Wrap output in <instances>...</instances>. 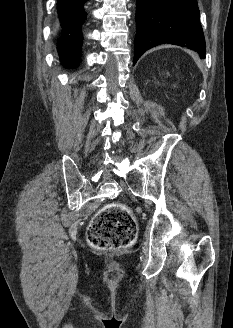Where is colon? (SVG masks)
I'll list each match as a JSON object with an SVG mask.
<instances>
[{
  "instance_id": "colon-1",
  "label": "colon",
  "mask_w": 233,
  "mask_h": 328,
  "mask_svg": "<svg viewBox=\"0 0 233 328\" xmlns=\"http://www.w3.org/2000/svg\"><path fill=\"white\" fill-rule=\"evenodd\" d=\"M137 235V222L131 211L119 203L101 208L87 232L89 244L98 250H115L131 245Z\"/></svg>"
}]
</instances>
